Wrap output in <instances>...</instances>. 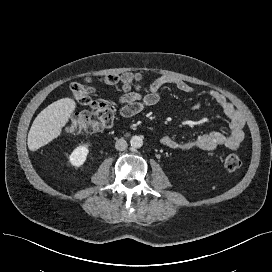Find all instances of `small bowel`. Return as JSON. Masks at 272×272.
Listing matches in <instances>:
<instances>
[{
    "label": "small bowel",
    "mask_w": 272,
    "mask_h": 272,
    "mask_svg": "<svg viewBox=\"0 0 272 272\" xmlns=\"http://www.w3.org/2000/svg\"><path fill=\"white\" fill-rule=\"evenodd\" d=\"M165 85H172L185 93L195 91L193 86L182 79L161 76L154 80L145 92L129 91L123 93L118 99L119 114L124 118H131L146 108L156 105L160 100L159 90ZM209 96L226 116L229 131H212L188 141H179L170 135H163L159 139L163 147L174 151L213 150L220 146L232 150L239 148L244 140L245 118L243 113L218 90H210ZM200 106L201 104L197 103L193 106V109L196 110Z\"/></svg>",
    "instance_id": "obj_1"
}]
</instances>
